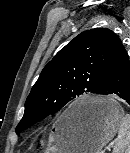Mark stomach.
Masks as SVG:
<instances>
[{
	"label": "stomach",
	"mask_w": 130,
	"mask_h": 153,
	"mask_svg": "<svg viewBox=\"0 0 130 153\" xmlns=\"http://www.w3.org/2000/svg\"><path fill=\"white\" fill-rule=\"evenodd\" d=\"M86 109L84 115L76 112ZM124 112L111 97H88L73 102L53 127L49 153H100L117 133Z\"/></svg>",
	"instance_id": "obj_1"
}]
</instances>
